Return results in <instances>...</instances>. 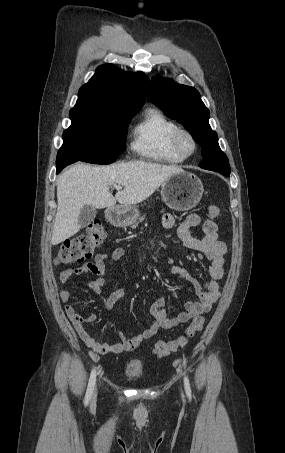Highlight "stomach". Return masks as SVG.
<instances>
[{
	"instance_id": "0dacf381",
	"label": "stomach",
	"mask_w": 285,
	"mask_h": 453,
	"mask_svg": "<svg viewBox=\"0 0 285 453\" xmlns=\"http://www.w3.org/2000/svg\"><path fill=\"white\" fill-rule=\"evenodd\" d=\"M203 192L201 180L193 173L182 171L173 174L163 183L161 196L171 209L187 211L199 203ZM106 217L112 225L125 227L138 217V210L131 206L111 208Z\"/></svg>"
}]
</instances>
